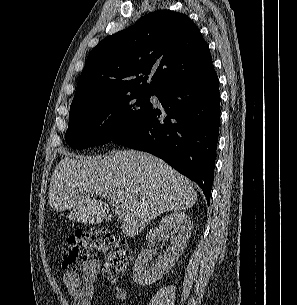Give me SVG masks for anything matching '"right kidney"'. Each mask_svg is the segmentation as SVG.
Returning a JSON list of instances; mask_svg holds the SVG:
<instances>
[{
    "label": "right kidney",
    "instance_id": "obj_1",
    "mask_svg": "<svg viewBox=\"0 0 297 305\" xmlns=\"http://www.w3.org/2000/svg\"><path fill=\"white\" fill-rule=\"evenodd\" d=\"M193 223L184 212H174L162 218L158 226L146 236L147 246H154L159 237L170 239V246L164 255H159L155 263L147 249L139 253L134 267L133 280L140 286H148L160 280L176 263L190 238Z\"/></svg>",
    "mask_w": 297,
    "mask_h": 305
}]
</instances>
